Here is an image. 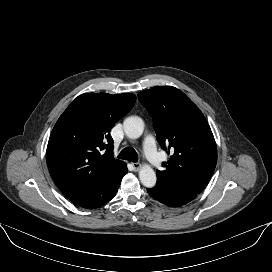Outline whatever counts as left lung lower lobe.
I'll return each mask as SVG.
<instances>
[{
  "label": "left lung lower lobe",
  "instance_id": "0a47b994",
  "mask_svg": "<svg viewBox=\"0 0 272 272\" xmlns=\"http://www.w3.org/2000/svg\"><path fill=\"white\" fill-rule=\"evenodd\" d=\"M147 191L153 199L170 207L185 205L198 194L197 192L170 184H156L154 188L147 189Z\"/></svg>",
  "mask_w": 272,
  "mask_h": 272
}]
</instances>
